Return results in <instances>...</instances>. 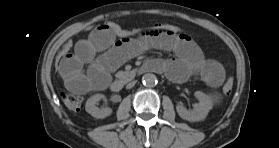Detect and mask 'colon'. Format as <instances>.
<instances>
[{"label":"colon","mask_w":279,"mask_h":148,"mask_svg":"<svg viewBox=\"0 0 279 148\" xmlns=\"http://www.w3.org/2000/svg\"><path fill=\"white\" fill-rule=\"evenodd\" d=\"M99 26L109 30L118 38H131L136 36L151 35L158 32H167V33L177 34V35L185 34L179 26L173 24H164V23H157L155 25L148 26V27L125 28L115 22H105ZM73 47L74 44L72 41H67L62 46L56 59L57 67L61 59L69 52H71ZM233 87H234V80L232 77H229L223 86L222 89L223 94L226 96L230 95L233 90ZM63 102L70 111L77 112L81 109L82 97L79 95L66 94L63 96Z\"/></svg>","instance_id":"1"}]
</instances>
